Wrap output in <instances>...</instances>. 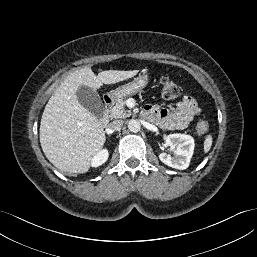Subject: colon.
<instances>
[{"label":"colon","mask_w":257,"mask_h":257,"mask_svg":"<svg viewBox=\"0 0 257 257\" xmlns=\"http://www.w3.org/2000/svg\"><path fill=\"white\" fill-rule=\"evenodd\" d=\"M161 92L165 99H176L181 95L180 87L174 83L168 76L163 75L160 78ZM208 130V123L204 120L199 121L197 124V131L205 133Z\"/></svg>","instance_id":"colon-1"}]
</instances>
